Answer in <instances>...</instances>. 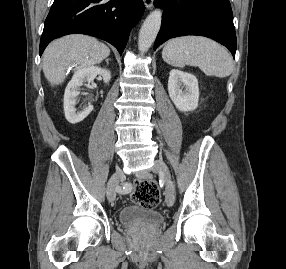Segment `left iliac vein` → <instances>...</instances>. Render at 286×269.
Returning a JSON list of instances; mask_svg holds the SVG:
<instances>
[{
    "label": "left iliac vein",
    "instance_id": "left-iliac-vein-1",
    "mask_svg": "<svg viewBox=\"0 0 286 269\" xmlns=\"http://www.w3.org/2000/svg\"><path fill=\"white\" fill-rule=\"evenodd\" d=\"M153 172L161 175L166 182V192H165V202L168 207L173 206L175 202V193L170 181V173L167 165L162 160H156L155 165L153 167Z\"/></svg>",
    "mask_w": 286,
    "mask_h": 269
}]
</instances>
